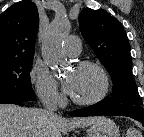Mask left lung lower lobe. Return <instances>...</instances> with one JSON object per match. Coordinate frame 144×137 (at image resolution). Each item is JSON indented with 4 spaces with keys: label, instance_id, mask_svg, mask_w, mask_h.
I'll return each instance as SVG.
<instances>
[{
    "label": "left lung lower lobe",
    "instance_id": "1",
    "mask_svg": "<svg viewBox=\"0 0 144 137\" xmlns=\"http://www.w3.org/2000/svg\"><path fill=\"white\" fill-rule=\"evenodd\" d=\"M72 116H127L138 120L144 126V111L142 107L116 105L108 107L102 101L83 109H77L71 112Z\"/></svg>",
    "mask_w": 144,
    "mask_h": 137
}]
</instances>
